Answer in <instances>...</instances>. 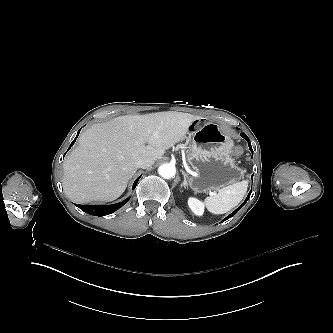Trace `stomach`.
<instances>
[{"instance_id":"stomach-1","label":"stomach","mask_w":333,"mask_h":333,"mask_svg":"<svg viewBox=\"0 0 333 333\" xmlns=\"http://www.w3.org/2000/svg\"><path fill=\"white\" fill-rule=\"evenodd\" d=\"M188 148L184 157L195 176L188 177V186L195 194L218 191L239 181L245 170L237 165L234 143L217 124L205 118L188 122Z\"/></svg>"}]
</instances>
